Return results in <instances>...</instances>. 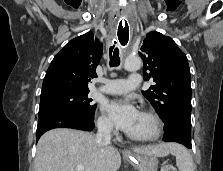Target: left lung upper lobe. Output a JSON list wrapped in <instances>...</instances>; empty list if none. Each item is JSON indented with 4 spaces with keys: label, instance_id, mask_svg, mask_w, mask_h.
Wrapping results in <instances>:
<instances>
[{
    "label": "left lung upper lobe",
    "instance_id": "left-lung-upper-lobe-1",
    "mask_svg": "<svg viewBox=\"0 0 223 171\" xmlns=\"http://www.w3.org/2000/svg\"><path fill=\"white\" fill-rule=\"evenodd\" d=\"M139 54L144 63L145 81L155 82L142 94L163 122L174 117L191 121L190 70L186 55L170 37L156 31L146 35Z\"/></svg>",
    "mask_w": 223,
    "mask_h": 171
}]
</instances>
